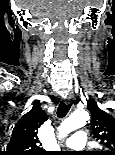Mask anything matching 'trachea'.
Here are the masks:
<instances>
[{"mask_svg":"<svg viewBox=\"0 0 115 155\" xmlns=\"http://www.w3.org/2000/svg\"><path fill=\"white\" fill-rule=\"evenodd\" d=\"M71 105L72 104H66L64 102H61L57 109V116L59 118H64L67 115L69 109L71 108Z\"/></svg>","mask_w":115,"mask_h":155,"instance_id":"3493384b","label":"trachea"}]
</instances>
